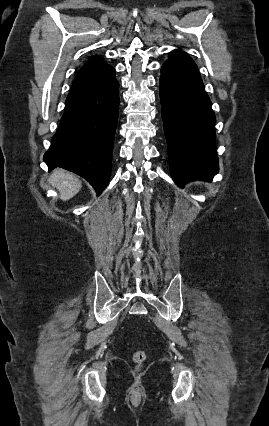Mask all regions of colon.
Masks as SVG:
<instances>
[{"label": "colon", "instance_id": "colon-1", "mask_svg": "<svg viewBox=\"0 0 269 426\" xmlns=\"http://www.w3.org/2000/svg\"><path fill=\"white\" fill-rule=\"evenodd\" d=\"M144 359H145V356H144V354H143L142 352H138V353L135 355V361H136L138 364L142 363V362L144 361Z\"/></svg>", "mask_w": 269, "mask_h": 426}]
</instances>
